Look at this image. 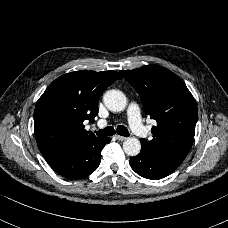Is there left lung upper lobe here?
Segmentation results:
<instances>
[{
  "label": "left lung upper lobe",
  "mask_w": 228,
  "mask_h": 228,
  "mask_svg": "<svg viewBox=\"0 0 228 228\" xmlns=\"http://www.w3.org/2000/svg\"><path fill=\"white\" fill-rule=\"evenodd\" d=\"M120 72L140 95L145 112L157 122L151 131L153 139H142L141 145L156 154L185 158L197 121L196 102L185 83L159 65Z\"/></svg>",
  "instance_id": "1"
}]
</instances>
